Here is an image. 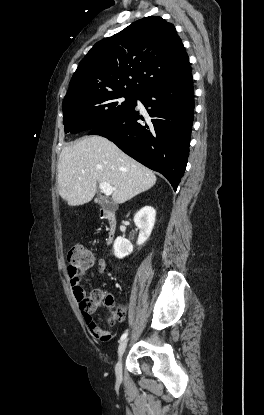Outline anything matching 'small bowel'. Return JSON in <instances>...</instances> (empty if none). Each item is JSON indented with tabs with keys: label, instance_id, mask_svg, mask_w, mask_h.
<instances>
[{
	"label": "small bowel",
	"instance_id": "c3829d8e",
	"mask_svg": "<svg viewBox=\"0 0 264 415\" xmlns=\"http://www.w3.org/2000/svg\"><path fill=\"white\" fill-rule=\"evenodd\" d=\"M106 270V262L104 260H99L97 263V271L98 273L102 274ZM87 268H80L74 274L69 273L70 285L72 289V293L78 301L83 299V289L81 286V282L83 277L86 275ZM91 332L101 341L105 342L109 339L112 335L111 330H107L104 328L99 327V325L92 320L90 324Z\"/></svg>",
	"mask_w": 264,
	"mask_h": 415
}]
</instances>
